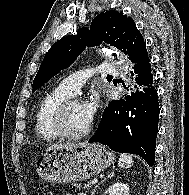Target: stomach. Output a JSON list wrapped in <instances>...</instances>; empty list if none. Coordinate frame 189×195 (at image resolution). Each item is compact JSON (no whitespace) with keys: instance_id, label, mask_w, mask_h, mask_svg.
Here are the masks:
<instances>
[{"instance_id":"0dacf381","label":"stomach","mask_w":189,"mask_h":195,"mask_svg":"<svg viewBox=\"0 0 189 195\" xmlns=\"http://www.w3.org/2000/svg\"><path fill=\"white\" fill-rule=\"evenodd\" d=\"M115 156L100 144L46 151L36 164L39 176L51 183L86 180L108 168Z\"/></svg>"}]
</instances>
